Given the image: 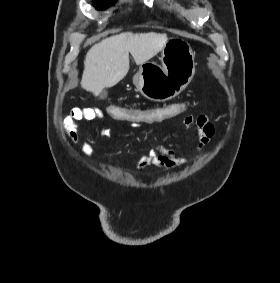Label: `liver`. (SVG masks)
Returning <instances> with one entry per match:
<instances>
[{
    "label": "liver",
    "instance_id": "1",
    "mask_svg": "<svg viewBox=\"0 0 280 283\" xmlns=\"http://www.w3.org/2000/svg\"><path fill=\"white\" fill-rule=\"evenodd\" d=\"M166 40L160 33H121L92 46L86 54L81 87L95 96L113 87L129 71V53L137 65L153 58Z\"/></svg>",
    "mask_w": 280,
    "mask_h": 283
}]
</instances>
